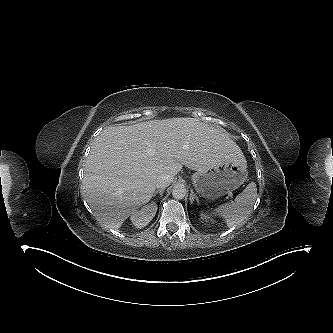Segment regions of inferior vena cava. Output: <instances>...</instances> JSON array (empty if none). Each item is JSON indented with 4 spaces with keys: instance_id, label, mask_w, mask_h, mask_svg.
I'll list each match as a JSON object with an SVG mask.
<instances>
[{
    "instance_id": "1",
    "label": "inferior vena cava",
    "mask_w": 333,
    "mask_h": 333,
    "mask_svg": "<svg viewBox=\"0 0 333 333\" xmlns=\"http://www.w3.org/2000/svg\"><path fill=\"white\" fill-rule=\"evenodd\" d=\"M174 176L169 174H162L160 175L156 180V187L157 188H166L170 185V183L173 181Z\"/></svg>"
}]
</instances>
